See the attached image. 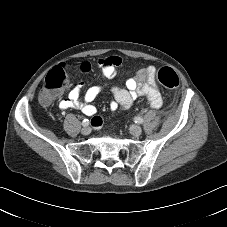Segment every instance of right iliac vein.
Here are the masks:
<instances>
[{"mask_svg":"<svg viewBox=\"0 0 227 227\" xmlns=\"http://www.w3.org/2000/svg\"><path fill=\"white\" fill-rule=\"evenodd\" d=\"M83 135H88L91 132V128L89 126H84L81 130Z\"/></svg>","mask_w":227,"mask_h":227,"instance_id":"63e3f726","label":"right iliac vein"}]
</instances>
